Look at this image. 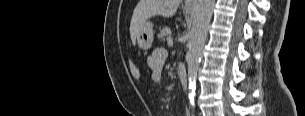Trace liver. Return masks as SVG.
Masks as SVG:
<instances>
[{"mask_svg":"<svg viewBox=\"0 0 305 116\" xmlns=\"http://www.w3.org/2000/svg\"><path fill=\"white\" fill-rule=\"evenodd\" d=\"M180 3L181 0H140L134 9L130 24L132 43H136L140 31L148 19L154 16L172 17Z\"/></svg>","mask_w":305,"mask_h":116,"instance_id":"liver-1","label":"liver"}]
</instances>
